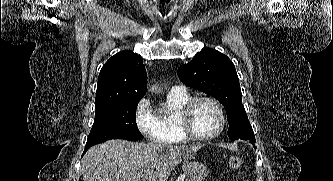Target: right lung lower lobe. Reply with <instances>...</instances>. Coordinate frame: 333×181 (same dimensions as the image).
<instances>
[{
  "mask_svg": "<svg viewBox=\"0 0 333 181\" xmlns=\"http://www.w3.org/2000/svg\"><path fill=\"white\" fill-rule=\"evenodd\" d=\"M88 148H89V147H85L84 153L86 152V150H87Z\"/></svg>",
  "mask_w": 333,
  "mask_h": 181,
  "instance_id": "1",
  "label": "right lung lower lobe"
}]
</instances>
